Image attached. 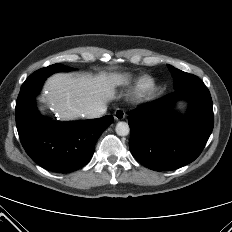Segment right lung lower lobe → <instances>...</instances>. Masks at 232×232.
Segmentation results:
<instances>
[{"instance_id":"98d812e1","label":"right lung lower lobe","mask_w":232,"mask_h":232,"mask_svg":"<svg viewBox=\"0 0 232 232\" xmlns=\"http://www.w3.org/2000/svg\"><path fill=\"white\" fill-rule=\"evenodd\" d=\"M44 81L21 87L15 109L18 134L25 151L37 164L50 171L68 173L90 161L97 139L112 124L113 117L50 121L35 104Z\"/></svg>"}]
</instances>
